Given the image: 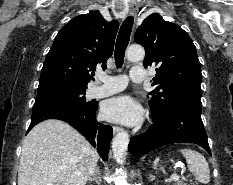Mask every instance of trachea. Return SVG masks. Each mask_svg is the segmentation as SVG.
Instances as JSON below:
<instances>
[{
  "label": "trachea",
  "instance_id": "trachea-1",
  "mask_svg": "<svg viewBox=\"0 0 233 185\" xmlns=\"http://www.w3.org/2000/svg\"><path fill=\"white\" fill-rule=\"evenodd\" d=\"M133 22L134 18L132 16H129L124 20L120 27L114 52L115 63L117 68L122 67L124 63L125 50L130 40Z\"/></svg>",
  "mask_w": 233,
  "mask_h": 185
}]
</instances>
